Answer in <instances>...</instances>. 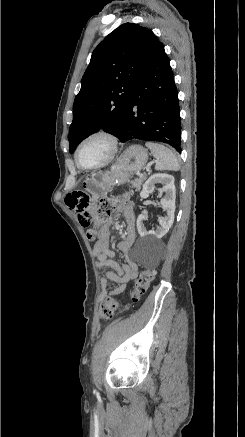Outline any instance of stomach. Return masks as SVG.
<instances>
[{
  "label": "stomach",
  "mask_w": 245,
  "mask_h": 437,
  "mask_svg": "<svg viewBox=\"0 0 245 437\" xmlns=\"http://www.w3.org/2000/svg\"><path fill=\"white\" fill-rule=\"evenodd\" d=\"M147 150L141 145L129 146L118 161L106 172H94L82 182V188L94 199L104 196L114 186L128 182L131 176L147 163Z\"/></svg>",
  "instance_id": "0dacf381"
}]
</instances>
